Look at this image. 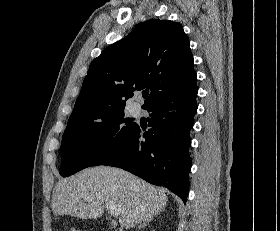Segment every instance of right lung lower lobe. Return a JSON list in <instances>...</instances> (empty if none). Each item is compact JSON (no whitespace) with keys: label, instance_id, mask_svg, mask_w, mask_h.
I'll return each instance as SVG.
<instances>
[{"label":"right lung lower lobe","instance_id":"1","mask_svg":"<svg viewBox=\"0 0 280 231\" xmlns=\"http://www.w3.org/2000/svg\"><path fill=\"white\" fill-rule=\"evenodd\" d=\"M198 89L191 87L149 106L148 126H139L101 164L127 170L147 182L165 186L184 203L189 189V132L197 110Z\"/></svg>","mask_w":280,"mask_h":231}]
</instances>
